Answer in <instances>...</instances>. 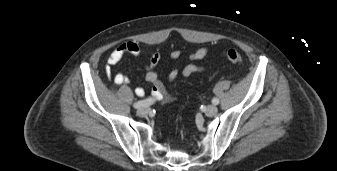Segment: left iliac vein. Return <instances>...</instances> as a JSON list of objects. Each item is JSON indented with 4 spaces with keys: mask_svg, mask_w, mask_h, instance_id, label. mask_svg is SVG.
Here are the masks:
<instances>
[{
    "mask_svg": "<svg viewBox=\"0 0 337 171\" xmlns=\"http://www.w3.org/2000/svg\"><path fill=\"white\" fill-rule=\"evenodd\" d=\"M217 111H218V109L215 105H209V106L206 107L204 112L207 116L213 117L217 114Z\"/></svg>",
    "mask_w": 337,
    "mask_h": 171,
    "instance_id": "4c4485c4",
    "label": "left iliac vein"
}]
</instances>
